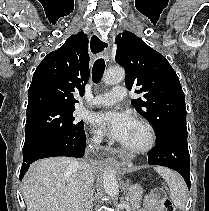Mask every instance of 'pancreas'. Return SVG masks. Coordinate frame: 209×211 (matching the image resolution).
<instances>
[{"instance_id": "cf45deb5", "label": "pancreas", "mask_w": 209, "mask_h": 211, "mask_svg": "<svg viewBox=\"0 0 209 211\" xmlns=\"http://www.w3.org/2000/svg\"><path fill=\"white\" fill-rule=\"evenodd\" d=\"M143 197V189L140 185L132 186V189L127 194V200L133 211L140 208L141 200Z\"/></svg>"}]
</instances>
